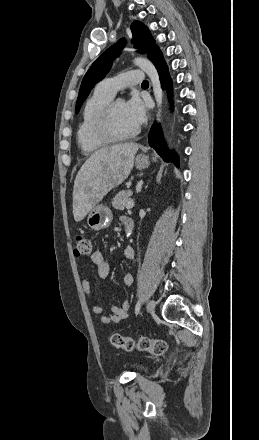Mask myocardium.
<instances>
[{
	"label": "myocardium",
	"mask_w": 259,
	"mask_h": 440,
	"mask_svg": "<svg viewBox=\"0 0 259 440\" xmlns=\"http://www.w3.org/2000/svg\"><path fill=\"white\" fill-rule=\"evenodd\" d=\"M118 101L119 100H111L103 108L94 127V132L96 136L109 143L130 140L136 137L140 132V129L138 127L132 132L126 134H120L116 132L113 124V111L115 104Z\"/></svg>",
	"instance_id": "1"
}]
</instances>
